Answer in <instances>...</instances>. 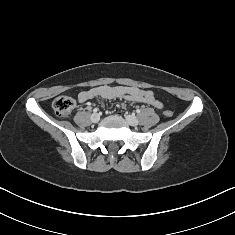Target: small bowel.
Wrapping results in <instances>:
<instances>
[{"instance_id": "small-bowel-1", "label": "small bowel", "mask_w": 235, "mask_h": 235, "mask_svg": "<svg viewBox=\"0 0 235 235\" xmlns=\"http://www.w3.org/2000/svg\"><path fill=\"white\" fill-rule=\"evenodd\" d=\"M114 98H123L130 102L146 104L157 109L163 107V104L154 97L152 91L138 87L101 85L81 91L78 95L80 103L90 99H98L103 102L106 99Z\"/></svg>"}]
</instances>
